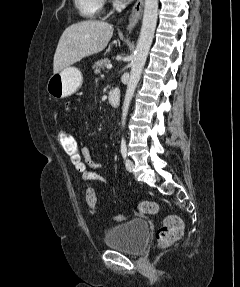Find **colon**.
<instances>
[{
  "label": "colon",
  "instance_id": "5ec220e1",
  "mask_svg": "<svg viewBox=\"0 0 240 287\" xmlns=\"http://www.w3.org/2000/svg\"><path fill=\"white\" fill-rule=\"evenodd\" d=\"M56 142L64 155L85 182L95 181L94 171L85 161L81 148L75 136L65 127L60 128L55 135ZM86 201L91 212H95L96 194L93 188L87 187ZM140 214H155L159 211V205L154 201H143L139 204ZM123 215H117L116 221H123ZM183 234V222L178 216H168L156 233V241L160 247H168L179 241Z\"/></svg>",
  "mask_w": 240,
  "mask_h": 287
}]
</instances>
